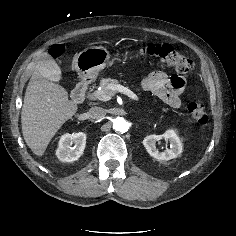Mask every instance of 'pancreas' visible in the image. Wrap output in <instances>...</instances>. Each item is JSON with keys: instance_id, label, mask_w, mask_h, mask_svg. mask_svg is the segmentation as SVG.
I'll use <instances>...</instances> for the list:
<instances>
[{"instance_id": "cf45deb5", "label": "pancreas", "mask_w": 236, "mask_h": 236, "mask_svg": "<svg viewBox=\"0 0 236 236\" xmlns=\"http://www.w3.org/2000/svg\"><path fill=\"white\" fill-rule=\"evenodd\" d=\"M119 84V81L112 78H104L100 81V91H95L92 93L93 99H98L100 95H107V96H113L115 94L114 91L110 89L111 86Z\"/></svg>"}]
</instances>
